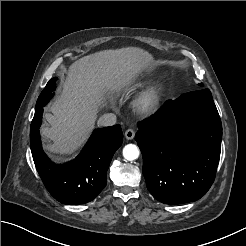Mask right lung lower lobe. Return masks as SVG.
<instances>
[{"label": "right lung lower lobe", "mask_w": 246, "mask_h": 246, "mask_svg": "<svg viewBox=\"0 0 246 246\" xmlns=\"http://www.w3.org/2000/svg\"><path fill=\"white\" fill-rule=\"evenodd\" d=\"M43 107H37L30 127V146L36 169L50 194L64 204L92 201L106 186V173L123 142L120 125L96 129L76 159L56 165L45 155L39 128Z\"/></svg>", "instance_id": "98d812e1"}]
</instances>
